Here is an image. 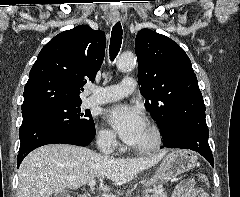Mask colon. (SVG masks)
<instances>
[{"mask_svg":"<svg viewBox=\"0 0 240 197\" xmlns=\"http://www.w3.org/2000/svg\"><path fill=\"white\" fill-rule=\"evenodd\" d=\"M198 179L203 182L204 184H208V177L205 174H199Z\"/></svg>","mask_w":240,"mask_h":197,"instance_id":"colon-1","label":"colon"}]
</instances>
